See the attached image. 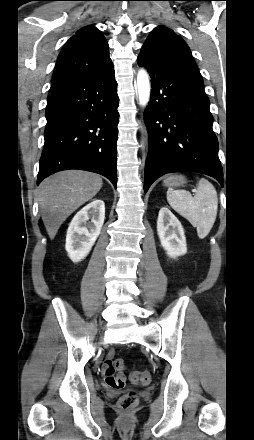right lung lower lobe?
Masks as SVG:
<instances>
[{
    "mask_svg": "<svg viewBox=\"0 0 254 440\" xmlns=\"http://www.w3.org/2000/svg\"><path fill=\"white\" fill-rule=\"evenodd\" d=\"M118 102L113 65L51 86L37 184L55 172L81 169L116 187Z\"/></svg>",
    "mask_w": 254,
    "mask_h": 440,
    "instance_id": "obj_1",
    "label": "right lung lower lobe"
}]
</instances>
